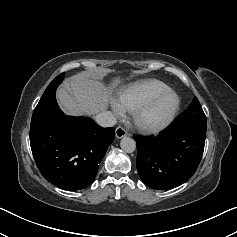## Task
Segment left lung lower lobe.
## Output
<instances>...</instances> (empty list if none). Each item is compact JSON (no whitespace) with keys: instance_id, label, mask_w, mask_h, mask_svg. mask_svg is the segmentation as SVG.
<instances>
[{"instance_id":"left-lung-lower-lobe-1","label":"left lung lower lobe","mask_w":237,"mask_h":237,"mask_svg":"<svg viewBox=\"0 0 237 237\" xmlns=\"http://www.w3.org/2000/svg\"><path fill=\"white\" fill-rule=\"evenodd\" d=\"M206 127L174 121L157 137L135 136L137 170L142 181L158 190L186 182L201 161Z\"/></svg>"}]
</instances>
